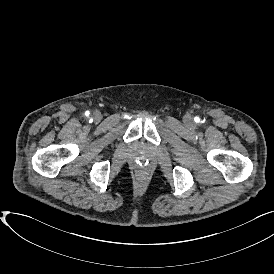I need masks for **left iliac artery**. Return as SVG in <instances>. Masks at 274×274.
<instances>
[{"mask_svg":"<svg viewBox=\"0 0 274 274\" xmlns=\"http://www.w3.org/2000/svg\"><path fill=\"white\" fill-rule=\"evenodd\" d=\"M195 121L198 122V118L197 117H195Z\"/></svg>","mask_w":274,"mask_h":274,"instance_id":"left-iliac-artery-1","label":"left iliac artery"}]
</instances>
